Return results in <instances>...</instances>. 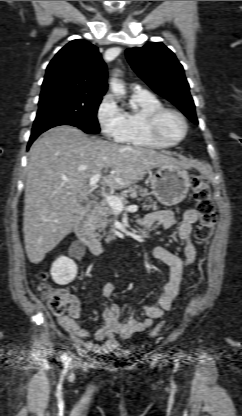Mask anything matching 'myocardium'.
Returning a JSON list of instances; mask_svg holds the SVG:
<instances>
[{
	"label": "myocardium",
	"mask_w": 242,
	"mask_h": 416,
	"mask_svg": "<svg viewBox=\"0 0 242 416\" xmlns=\"http://www.w3.org/2000/svg\"><path fill=\"white\" fill-rule=\"evenodd\" d=\"M166 114H173L180 119L183 125V133L179 138L171 139V138L166 137L162 133L160 129V123H161L162 118ZM147 128H148V132L153 138L168 145H175V144L182 142L188 133V123L183 113L177 109L164 107V106L161 108L155 109L149 114L148 119H147Z\"/></svg>",
	"instance_id": "myocardium-1"
}]
</instances>
